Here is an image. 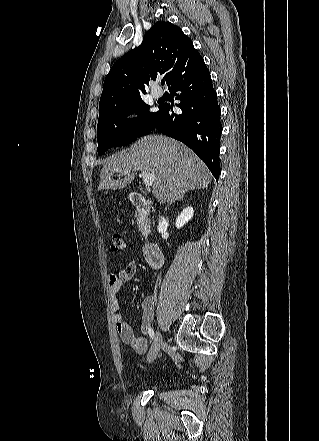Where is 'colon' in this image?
<instances>
[{
    "instance_id": "5ec220e1",
    "label": "colon",
    "mask_w": 319,
    "mask_h": 441,
    "mask_svg": "<svg viewBox=\"0 0 319 441\" xmlns=\"http://www.w3.org/2000/svg\"><path fill=\"white\" fill-rule=\"evenodd\" d=\"M110 247L113 252H124L126 250V241L121 234L113 233Z\"/></svg>"
}]
</instances>
